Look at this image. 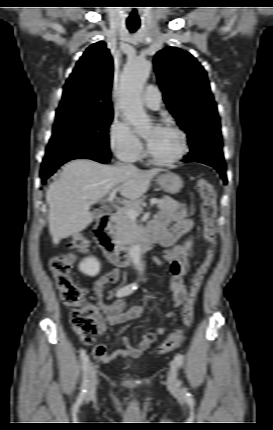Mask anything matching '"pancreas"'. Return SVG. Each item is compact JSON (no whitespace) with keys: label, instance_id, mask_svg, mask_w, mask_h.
<instances>
[{"label":"pancreas","instance_id":"obj_1","mask_svg":"<svg viewBox=\"0 0 273 430\" xmlns=\"http://www.w3.org/2000/svg\"><path fill=\"white\" fill-rule=\"evenodd\" d=\"M141 200H136L132 203H128L122 208V211H118L113 218V230L114 235L119 243H124L130 240L135 231L138 229L136 219H131L124 210L126 209H139ZM182 206L181 203L177 202L169 196H164L158 203V208L161 210L176 211Z\"/></svg>","mask_w":273,"mask_h":430}]
</instances>
